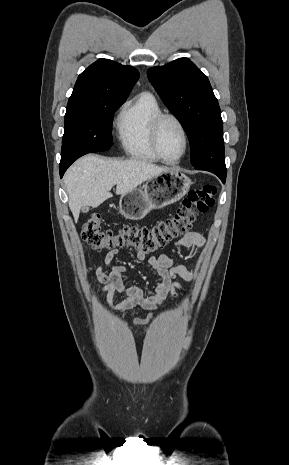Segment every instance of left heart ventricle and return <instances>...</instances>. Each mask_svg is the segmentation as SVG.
<instances>
[{
	"mask_svg": "<svg viewBox=\"0 0 289 465\" xmlns=\"http://www.w3.org/2000/svg\"><path fill=\"white\" fill-rule=\"evenodd\" d=\"M160 148L163 155L174 160L183 152L184 137L178 125L172 120H166L161 129Z\"/></svg>",
	"mask_w": 289,
	"mask_h": 465,
	"instance_id": "b2bd125f",
	"label": "left heart ventricle"
}]
</instances>
